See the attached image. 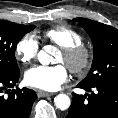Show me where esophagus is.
I'll return each instance as SVG.
<instances>
[{
  "label": "esophagus",
  "instance_id": "34e87169",
  "mask_svg": "<svg viewBox=\"0 0 118 118\" xmlns=\"http://www.w3.org/2000/svg\"><path fill=\"white\" fill-rule=\"evenodd\" d=\"M37 95H38L39 97H49V96H52V95H54V94H53V93H49V92H45V91L39 90V91L37 92Z\"/></svg>",
  "mask_w": 118,
  "mask_h": 118
}]
</instances>
